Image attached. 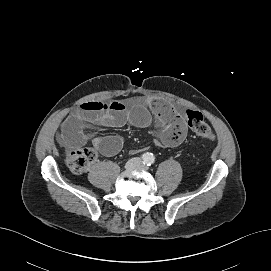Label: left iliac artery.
Returning <instances> with one entry per match:
<instances>
[{
  "instance_id": "left-iliac-artery-1",
  "label": "left iliac artery",
  "mask_w": 271,
  "mask_h": 271,
  "mask_svg": "<svg viewBox=\"0 0 271 271\" xmlns=\"http://www.w3.org/2000/svg\"><path fill=\"white\" fill-rule=\"evenodd\" d=\"M154 162H155V158H154L153 155H151V156L149 157V159H148L147 165H148V166H151V165L154 164Z\"/></svg>"
}]
</instances>
